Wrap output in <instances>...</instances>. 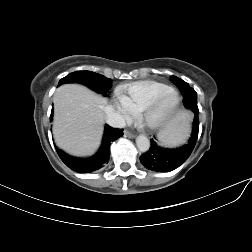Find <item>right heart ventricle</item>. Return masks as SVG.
Here are the masks:
<instances>
[{
  "label": "right heart ventricle",
  "instance_id": "right-heart-ventricle-1",
  "mask_svg": "<svg viewBox=\"0 0 252 252\" xmlns=\"http://www.w3.org/2000/svg\"><path fill=\"white\" fill-rule=\"evenodd\" d=\"M170 89L171 87L165 83L146 80L119 86L116 92L124 95L131 108L138 111L148 101Z\"/></svg>",
  "mask_w": 252,
  "mask_h": 252
}]
</instances>
